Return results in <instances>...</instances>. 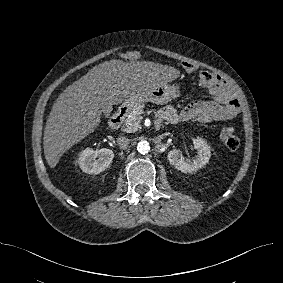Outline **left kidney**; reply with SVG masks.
Listing matches in <instances>:
<instances>
[{
	"label": "left kidney",
	"mask_w": 283,
	"mask_h": 283,
	"mask_svg": "<svg viewBox=\"0 0 283 283\" xmlns=\"http://www.w3.org/2000/svg\"><path fill=\"white\" fill-rule=\"evenodd\" d=\"M194 146L198 152L192 161H184L181 157V151L179 149H174L171 150L167 155L169 163L177 170L184 173H191L205 166L211 157L210 146L202 138H196L194 141Z\"/></svg>",
	"instance_id": "left-kidney-1"
}]
</instances>
